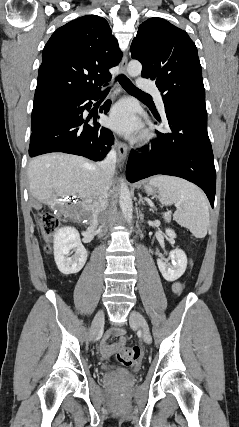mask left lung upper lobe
Segmentation results:
<instances>
[{
	"instance_id": "5c2ea615",
	"label": "left lung upper lobe",
	"mask_w": 239,
	"mask_h": 427,
	"mask_svg": "<svg viewBox=\"0 0 239 427\" xmlns=\"http://www.w3.org/2000/svg\"><path fill=\"white\" fill-rule=\"evenodd\" d=\"M130 51L142 63V77L156 81L163 100L206 111L197 48L185 31L162 18H150L139 26Z\"/></svg>"
}]
</instances>
